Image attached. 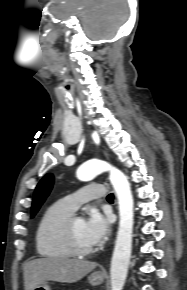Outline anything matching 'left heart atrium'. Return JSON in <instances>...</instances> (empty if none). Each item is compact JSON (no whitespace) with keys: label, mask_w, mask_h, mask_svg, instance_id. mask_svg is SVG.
<instances>
[{"label":"left heart atrium","mask_w":187,"mask_h":290,"mask_svg":"<svg viewBox=\"0 0 187 290\" xmlns=\"http://www.w3.org/2000/svg\"><path fill=\"white\" fill-rule=\"evenodd\" d=\"M85 228L90 241L96 245L103 242L110 232V218L98 210L91 209L85 220Z\"/></svg>","instance_id":"left-heart-atrium-1"}]
</instances>
